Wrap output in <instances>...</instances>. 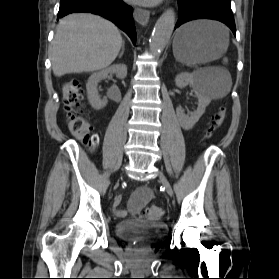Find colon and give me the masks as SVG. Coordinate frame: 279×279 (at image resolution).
<instances>
[{"mask_svg": "<svg viewBox=\"0 0 279 279\" xmlns=\"http://www.w3.org/2000/svg\"><path fill=\"white\" fill-rule=\"evenodd\" d=\"M63 105L68 117V127L73 135L77 136L90 150L98 144V137L90 131V125L81 115L80 102L83 90L79 80L72 79L62 87ZM226 116V108L222 107L213 117L205 136L210 138L222 125ZM163 209L158 206H149L144 211V216L149 220H159L163 216Z\"/></svg>", "mask_w": 279, "mask_h": 279, "instance_id": "1", "label": "colon"}]
</instances>
